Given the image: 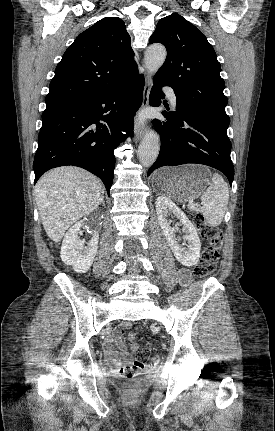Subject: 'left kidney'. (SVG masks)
<instances>
[{"label":"left kidney","mask_w":275,"mask_h":431,"mask_svg":"<svg viewBox=\"0 0 275 431\" xmlns=\"http://www.w3.org/2000/svg\"><path fill=\"white\" fill-rule=\"evenodd\" d=\"M156 212L160 227L176 259L184 266L195 265L200 257L201 243L194 225L187 218L185 213L165 196H159L156 199ZM171 213H173L183 225V231L185 232L183 238L188 243L186 247L179 245L181 238H176V232L179 228L172 227L168 221V216H170Z\"/></svg>","instance_id":"5707ae66"}]
</instances>
